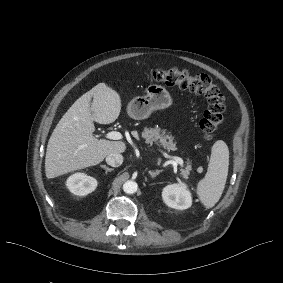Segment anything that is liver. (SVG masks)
I'll return each instance as SVG.
<instances>
[{
	"label": "liver",
	"instance_id": "1",
	"mask_svg": "<svg viewBox=\"0 0 283 283\" xmlns=\"http://www.w3.org/2000/svg\"><path fill=\"white\" fill-rule=\"evenodd\" d=\"M120 110V96L105 83L97 84L77 99L60 119L48 141L46 177L54 178L94 166L112 153H123L126 149L124 142L93 136L94 121L113 123Z\"/></svg>",
	"mask_w": 283,
	"mask_h": 283
}]
</instances>
